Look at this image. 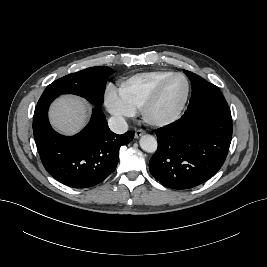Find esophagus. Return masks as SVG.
<instances>
[{"mask_svg": "<svg viewBox=\"0 0 267 267\" xmlns=\"http://www.w3.org/2000/svg\"><path fill=\"white\" fill-rule=\"evenodd\" d=\"M145 134V131L144 130H142V129H138V130H136V132H135V138H139V137H141L142 135H144Z\"/></svg>", "mask_w": 267, "mask_h": 267, "instance_id": "obj_1", "label": "esophagus"}]
</instances>
